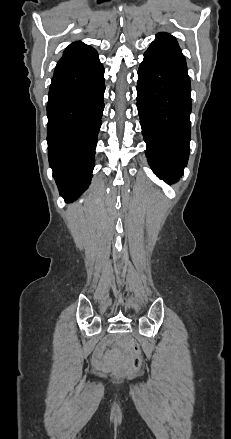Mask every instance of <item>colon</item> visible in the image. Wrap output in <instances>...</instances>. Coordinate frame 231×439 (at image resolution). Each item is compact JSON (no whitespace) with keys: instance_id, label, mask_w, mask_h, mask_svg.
<instances>
[{"instance_id":"1","label":"colon","mask_w":231,"mask_h":439,"mask_svg":"<svg viewBox=\"0 0 231 439\" xmlns=\"http://www.w3.org/2000/svg\"><path fill=\"white\" fill-rule=\"evenodd\" d=\"M130 350L133 354L131 360V374L137 373L142 367V352L137 342L130 344Z\"/></svg>"}]
</instances>
